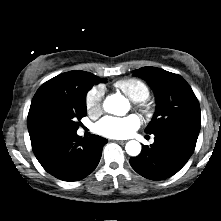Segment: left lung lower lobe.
Returning a JSON list of instances; mask_svg holds the SVG:
<instances>
[{
    "label": "left lung lower lobe",
    "instance_id": "left-lung-lower-lobe-1",
    "mask_svg": "<svg viewBox=\"0 0 221 221\" xmlns=\"http://www.w3.org/2000/svg\"><path fill=\"white\" fill-rule=\"evenodd\" d=\"M198 132L184 127H166L154 133L155 142L143 146L141 153L130 158L132 168L151 180H163L177 173L194 152Z\"/></svg>",
    "mask_w": 221,
    "mask_h": 221
}]
</instances>
